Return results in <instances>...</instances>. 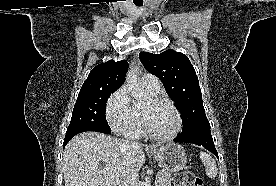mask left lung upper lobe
<instances>
[{
	"mask_svg": "<svg viewBox=\"0 0 276 186\" xmlns=\"http://www.w3.org/2000/svg\"><path fill=\"white\" fill-rule=\"evenodd\" d=\"M140 60L148 72L161 80L175 107L180 110L183 118L181 136L210 128L198 77L186 55L173 50L159 55L141 52Z\"/></svg>",
	"mask_w": 276,
	"mask_h": 186,
	"instance_id": "5c2ea615",
	"label": "left lung upper lobe"
}]
</instances>
